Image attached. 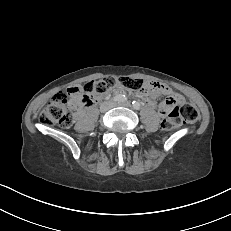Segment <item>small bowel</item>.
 Segmentation results:
<instances>
[{"label":"small bowel","instance_id":"small-bowel-1","mask_svg":"<svg viewBox=\"0 0 231 231\" xmlns=\"http://www.w3.org/2000/svg\"><path fill=\"white\" fill-rule=\"evenodd\" d=\"M148 85H156L157 86L156 91L154 94L144 93L142 95V98L144 101L147 102V104L150 107H156L158 109L159 114L162 116L165 115V113L169 110V107L171 104H182L184 102V98L180 94L174 92L168 86L158 84V83H153V82L148 83ZM121 90L122 88L119 86L113 89L114 92H120ZM68 91L74 100L76 101L82 100V92L79 86H73L69 88ZM155 94L165 95L166 100L157 105L155 101L152 99V96ZM80 113H81V106L78 109V115H80Z\"/></svg>","mask_w":231,"mask_h":231}]
</instances>
